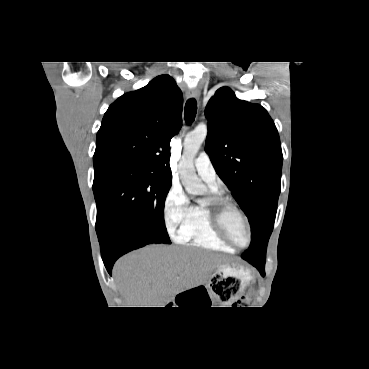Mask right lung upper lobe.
<instances>
[{"mask_svg":"<svg viewBox=\"0 0 369 369\" xmlns=\"http://www.w3.org/2000/svg\"><path fill=\"white\" fill-rule=\"evenodd\" d=\"M183 97L169 75L111 104L97 133L95 167L135 168L171 179V138L182 124Z\"/></svg>","mask_w":369,"mask_h":369,"instance_id":"1","label":"right lung upper lobe"}]
</instances>
